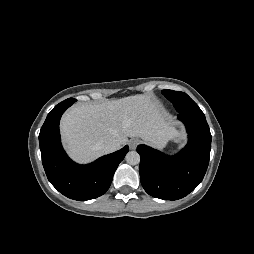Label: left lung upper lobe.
I'll list each match as a JSON object with an SVG mask.
<instances>
[{"label": "left lung upper lobe", "instance_id": "5c2ea615", "mask_svg": "<svg viewBox=\"0 0 254 254\" xmlns=\"http://www.w3.org/2000/svg\"><path fill=\"white\" fill-rule=\"evenodd\" d=\"M162 94L173 103V106L179 113L193 112L204 114L199 106L186 93L163 90Z\"/></svg>", "mask_w": 254, "mask_h": 254}]
</instances>
